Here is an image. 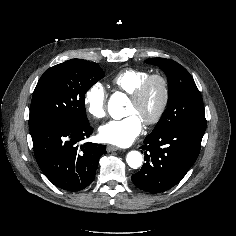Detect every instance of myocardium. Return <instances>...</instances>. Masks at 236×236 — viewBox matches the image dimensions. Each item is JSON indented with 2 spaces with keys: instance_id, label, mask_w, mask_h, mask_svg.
Returning <instances> with one entry per match:
<instances>
[{
  "instance_id": "1",
  "label": "myocardium",
  "mask_w": 236,
  "mask_h": 236,
  "mask_svg": "<svg viewBox=\"0 0 236 236\" xmlns=\"http://www.w3.org/2000/svg\"><path fill=\"white\" fill-rule=\"evenodd\" d=\"M158 82L161 86V102L160 105L156 111V113L149 117L144 119L143 121L147 125H154L158 123L161 118L163 117L169 103L170 98V87L169 82L167 78L162 74H150L140 85L139 87L130 95V99L136 103L140 102L144 96L146 95L147 91L149 90L152 83Z\"/></svg>"
}]
</instances>
